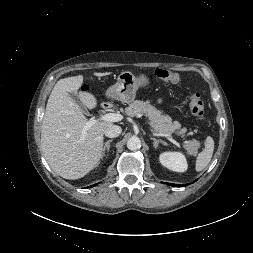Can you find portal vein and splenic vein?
<instances>
[{
  "mask_svg": "<svg viewBox=\"0 0 253 253\" xmlns=\"http://www.w3.org/2000/svg\"><path fill=\"white\" fill-rule=\"evenodd\" d=\"M101 120L108 122H118L123 120V115L117 113H107L101 117ZM95 121L96 120L89 121L83 129V133H85L86 130L95 123ZM149 125L155 129V127L151 123H149ZM161 135L169 138L172 142H175V140L170 134H161Z\"/></svg>",
  "mask_w": 253,
  "mask_h": 253,
  "instance_id": "18ae733b",
  "label": "portal vein and splenic vein"
}]
</instances>
